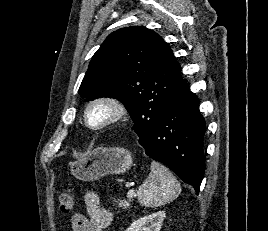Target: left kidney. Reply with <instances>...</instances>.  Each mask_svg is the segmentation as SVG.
<instances>
[{"mask_svg":"<svg viewBox=\"0 0 268 231\" xmlns=\"http://www.w3.org/2000/svg\"><path fill=\"white\" fill-rule=\"evenodd\" d=\"M166 214L159 211L134 221L125 231H160Z\"/></svg>","mask_w":268,"mask_h":231,"instance_id":"obj_1","label":"left kidney"}]
</instances>
